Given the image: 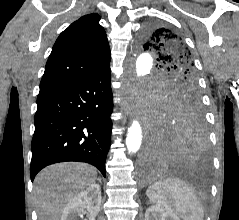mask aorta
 Instances as JSON below:
<instances>
[{
    "label": "aorta",
    "instance_id": "762f6f07",
    "mask_svg": "<svg viewBox=\"0 0 239 220\" xmlns=\"http://www.w3.org/2000/svg\"><path fill=\"white\" fill-rule=\"evenodd\" d=\"M136 60V70L134 72L136 80L152 78L150 72L152 69V58L150 56V51H143V54L139 55ZM142 143V127L139 121L134 120L128 129V134L126 137V147L129 154L136 153Z\"/></svg>",
    "mask_w": 239,
    "mask_h": 220
}]
</instances>
